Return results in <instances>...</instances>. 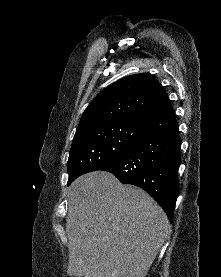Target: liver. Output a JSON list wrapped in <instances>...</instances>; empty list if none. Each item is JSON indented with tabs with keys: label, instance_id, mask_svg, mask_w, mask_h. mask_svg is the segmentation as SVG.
Returning a JSON list of instances; mask_svg holds the SVG:
<instances>
[{
	"label": "liver",
	"instance_id": "1",
	"mask_svg": "<svg viewBox=\"0 0 221 277\" xmlns=\"http://www.w3.org/2000/svg\"><path fill=\"white\" fill-rule=\"evenodd\" d=\"M68 207L70 276L146 277L170 234L168 217L157 202L108 172L74 180Z\"/></svg>",
	"mask_w": 221,
	"mask_h": 277
}]
</instances>
